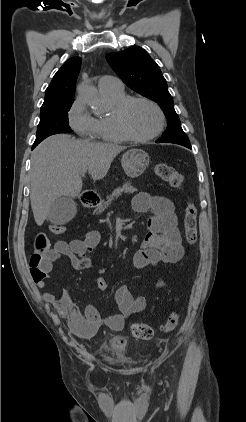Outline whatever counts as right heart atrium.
Listing matches in <instances>:
<instances>
[{
  "mask_svg": "<svg viewBox=\"0 0 246 422\" xmlns=\"http://www.w3.org/2000/svg\"><path fill=\"white\" fill-rule=\"evenodd\" d=\"M70 127L82 138L93 140L98 137L97 119L87 110L83 100L77 98L68 111Z\"/></svg>",
  "mask_w": 246,
  "mask_h": 422,
  "instance_id": "right-heart-atrium-1",
  "label": "right heart atrium"
}]
</instances>
